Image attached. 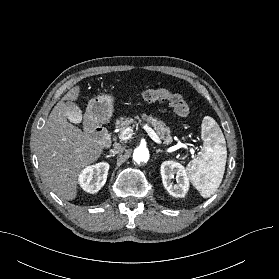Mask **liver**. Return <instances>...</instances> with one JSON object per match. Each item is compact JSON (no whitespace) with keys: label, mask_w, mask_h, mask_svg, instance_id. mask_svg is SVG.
Segmentation results:
<instances>
[{"label":"liver","mask_w":279,"mask_h":279,"mask_svg":"<svg viewBox=\"0 0 279 279\" xmlns=\"http://www.w3.org/2000/svg\"><path fill=\"white\" fill-rule=\"evenodd\" d=\"M79 93L80 87H73L54 106L37 142L41 175L46 185L66 200L76 198L79 174L97 161L104 149L67 120V103L77 100Z\"/></svg>","instance_id":"1"}]
</instances>
